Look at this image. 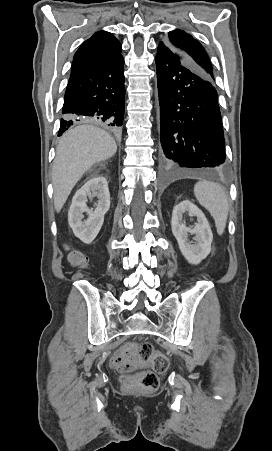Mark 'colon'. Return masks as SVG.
Here are the masks:
<instances>
[{"label": "colon", "instance_id": "obj_1", "mask_svg": "<svg viewBox=\"0 0 272 451\" xmlns=\"http://www.w3.org/2000/svg\"><path fill=\"white\" fill-rule=\"evenodd\" d=\"M70 260H77L74 264L76 271H83L85 264L81 262L82 252L72 249L69 252ZM151 342L138 344L132 351L120 353L115 361L114 367L125 374L124 384L139 386L148 391H154L159 387L157 373H163L167 368V359L164 355L156 353ZM139 365H150L152 371H137Z\"/></svg>", "mask_w": 272, "mask_h": 451}]
</instances>
